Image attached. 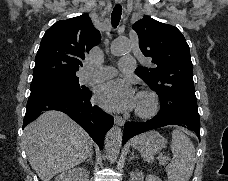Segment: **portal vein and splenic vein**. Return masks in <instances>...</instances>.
Masks as SVG:
<instances>
[{
  "mask_svg": "<svg viewBox=\"0 0 228 181\" xmlns=\"http://www.w3.org/2000/svg\"><path fill=\"white\" fill-rule=\"evenodd\" d=\"M161 159L162 161H167L168 157H163V155H161ZM155 169L157 170L158 168L156 167Z\"/></svg>",
  "mask_w": 228,
  "mask_h": 181,
  "instance_id": "18ae733b",
  "label": "portal vein and splenic vein"
}]
</instances>
